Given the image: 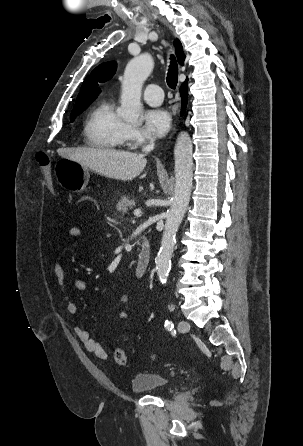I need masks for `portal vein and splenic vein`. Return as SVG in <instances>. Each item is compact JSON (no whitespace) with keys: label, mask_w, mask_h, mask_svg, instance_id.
I'll return each instance as SVG.
<instances>
[{"label":"portal vein and splenic vein","mask_w":303,"mask_h":446,"mask_svg":"<svg viewBox=\"0 0 303 446\" xmlns=\"http://www.w3.org/2000/svg\"><path fill=\"white\" fill-rule=\"evenodd\" d=\"M140 213H141V210H140V209H135V210H134V215H135V216H139Z\"/></svg>","instance_id":"portal-vein-and-splenic-vein-1"}]
</instances>
